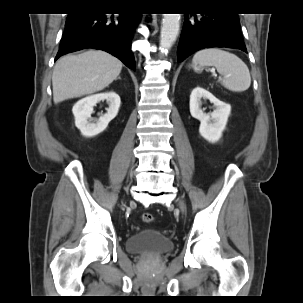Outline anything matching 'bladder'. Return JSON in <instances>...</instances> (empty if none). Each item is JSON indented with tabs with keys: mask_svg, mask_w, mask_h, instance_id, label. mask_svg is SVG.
I'll list each match as a JSON object with an SVG mask.
<instances>
[{
	"mask_svg": "<svg viewBox=\"0 0 303 303\" xmlns=\"http://www.w3.org/2000/svg\"><path fill=\"white\" fill-rule=\"evenodd\" d=\"M126 251L136 254H164L174 249L172 239L152 228H143L126 240Z\"/></svg>",
	"mask_w": 303,
	"mask_h": 303,
	"instance_id": "bladder-1",
	"label": "bladder"
}]
</instances>
